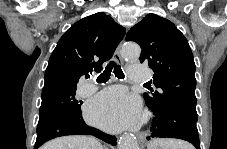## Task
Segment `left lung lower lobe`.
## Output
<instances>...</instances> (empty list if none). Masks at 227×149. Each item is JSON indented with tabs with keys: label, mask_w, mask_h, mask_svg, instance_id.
I'll return each mask as SVG.
<instances>
[{
	"label": "left lung lower lobe",
	"mask_w": 227,
	"mask_h": 149,
	"mask_svg": "<svg viewBox=\"0 0 227 149\" xmlns=\"http://www.w3.org/2000/svg\"><path fill=\"white\" fill-rule=\"evenodd\" d=\"M148 105V104H147ZM155 117L152 121L151 138H177L192 143L200 149L198 130L196 127L197 112L183 106L172 104L164 108H156L148 105Z\"/></svg>",
	"instance_id": "1"
}]
</instances>
